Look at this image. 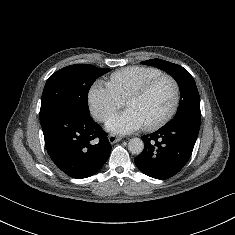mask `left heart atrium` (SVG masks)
<instances>
[{
    "instance_id": "39dd6f15",
    "label": "left heart atrium",
    "mask_w": 235,
    "mask_h": 235,
    "mask_svg": "<svg viewBox=\"0 0 235 235\" xmlns=\"http://www.w3.org/2000/svg\"><path fill=\"white\" fill-rule=\"evenodd\" d=\"M143 126L141 118L131 109L112 116L106 123L107 129L117 134H128Z\"/></svg>"
}]
</instances>
